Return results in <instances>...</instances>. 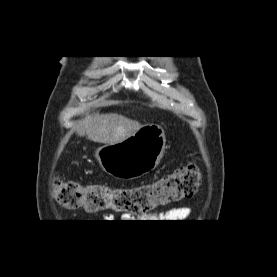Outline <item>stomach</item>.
Wrapping results in <instances>:
<instances>
[{
    "label": "stomach",
    "instance_id": "obj_1",
    "mask_svg": "<svg viewBox=\"0 0 277 277\" xmlns=\"http://www.w3.org/2000/svg\"><path fill=\"white\" fill-rule=\"evenodd\" d=\"M165 144L164 129L148 124L119 143L98 148L95 157L109 175L135 179L158 166L165 152Z\"/></svg>",
    "mask_w": 277,
    "mask_h": 277
}]
</instances>
